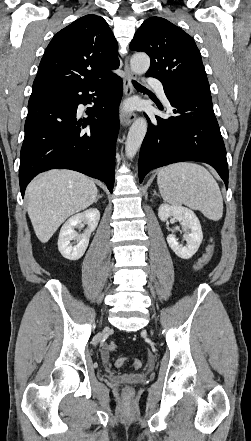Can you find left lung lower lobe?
Instances as JSON below:
<instances>
[{"mask_svg":"<svg viewBox=\"0 0 251 441\" xmlns=\"http://www.w3.org/2000/svg\"><path fill=\"white\" fill-rule=\"evenodd\" d=\"M172 116L148 120L139 156V180L152 169L181 161H198L216 169L228 187L226 149L213 111L210 93L163 84ZM160 110L163 108L159 107Z\"/></svg>","mask_w":251,"mask_h":441,"instance_id":"0a47b994","label":"left lung lower lobe"}]
</instances>
